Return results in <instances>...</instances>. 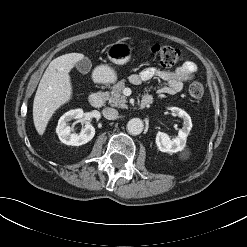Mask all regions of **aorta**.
Segmentation results:
<instances>
[{
  "mask_svg": "<svg viewBox=\"0 0 247 247\" xmlns=\"http://www.w3.org/2000/svg\"><path fill=\"white\" fill-rule=\"evenodd\" d=\"M143 121L139 118L130 119L127 123V131L131 135H139L143 131Z\"/></svg>",
  "mask_w": 247,
  "mask_h": 247,
  "instance_id": "aorta-1",
  "label": "aorta"
}]
</instances>
